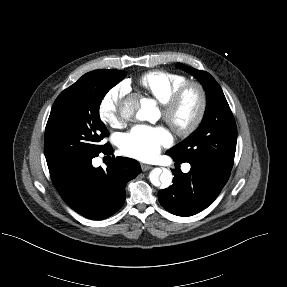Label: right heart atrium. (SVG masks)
Returning a JSON list of instances; mask_svg holds the SVG:
<instances>
[{"label":"right heart atrium","instance_id":"obj_1","mask_svg":"<svg viewBox=\"0 0 287 287\" xmlns=\"http://www.w3.org/2000/svg\"><path fill=\"white\" fill-rule=\"evenodd\" d=\"M128 90V85L122 82L111 88L102 97L98 106V114L104 124L110 127H117L121 124L120 105Z\"/></svg>","mask_w":287,"mask_h":287}]
</instances>
